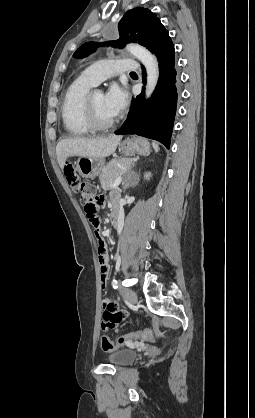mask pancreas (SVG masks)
<instances>
[{
	"mask_svg": "<svg viewBox=\"0 0 255 418\" xmlns=\"http://www.w3.org/2000/svg\"><path fill=\"white\" fill-rule=\"evenodd\" d=\"M131 163L130 158H114L109 161L99 176L102 189H111L115 180L124 173V168H128Z\"/></svg>",
	"mask_w": 255,
	"mask_h": 418,
	"instance_id": "obj_1",
	"label": "pancreas"
}]
</instances>
